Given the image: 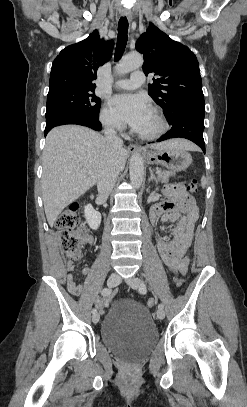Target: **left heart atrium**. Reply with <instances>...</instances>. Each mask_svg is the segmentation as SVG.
Wrapping results in <instances>:
<instances>
[{"mask_svg":"<svg viewBox=\"0 0 247 407\" xmlns=\"http://www.w3.org/2000/svg\"><path fill=\"white\" fill-rule=\"evenodd\" d=\"M110 104L116 115L134 129L140 126L150 111L146 99L141 95H117Z\"/></svg>","mask_w":247,"mask_h":407,"instance_id":"obj_1","label":"left heart atrium"}]
</instances>
